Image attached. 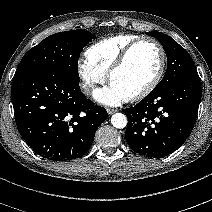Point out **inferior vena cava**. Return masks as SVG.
<instances>
[{
	"mask_svg": "<svg viewBox=\"0 0 212 212\" xmlns=\"http://www.w3.org/2000/svg\"><path fill=\"white\" fill-rule=\"evenodd\" d=\"M93 88L94 87L91 84H87V83L82 84V89L84 90V93L86 94H89Z\"/></svg>",
	"mask_w": 212,
	"mask_h": 212,
	"instance_id": "602c4592",
	"label": "inferior vena cava"
}]
</instances>
